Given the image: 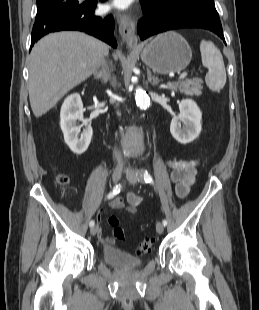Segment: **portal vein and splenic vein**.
Instances as JSON below:
<instances>
[{"label":"portal vein and splenic vein","mask_w":259,"mask_h":310,"mask_svg":"<svg viewBox=\"0 0 259 310\" xmlns=\"http://www.w3.org/2000/svg\"><path fill=\"white\" fill-rule=\"evenodd\" d=\"M186 76H187V73H186V72L182 73V74L179 76V80L184 79Z\"/></svg>","instance_id":"18ae733b"}]
</instances>
